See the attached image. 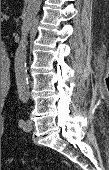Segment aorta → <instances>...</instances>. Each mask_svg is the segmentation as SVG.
<instances>
[{"mask_svg":"<svg viewBox=\"0 0 109 170\" xmlns=\"http://www.w3.org/2000/svg\"><path fill=\"white\" fill-rule=\"evenodd\" d=\"M42 0H26L23 22L21 26V39L15 53L14 71L19 99L26 103L29 99L28 75L26 69L28 34L33 26L40 9Z\"/></svg>","mask_w":109,"mask_h":170,"instance_id":"obj_1","label":"aorta"}]
</instances>
